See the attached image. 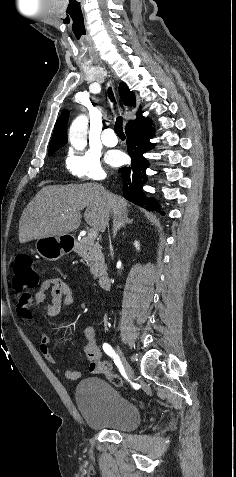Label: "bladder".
Here are the masks:
<instances>
[{
    "mask_svg": "<svg viewBox=\"0 0 236 477\" xmlns=\"http://www.w3.org/2000/svg\"><path fill=\"white\" fill-rule=\"evenodd\" d=\"M75 400L81 416L91 427L131 432L141 424L139 407L102 378L81 380Z\"/></svg>",
    "mask_w": 236,
    "mask_h": 477,
    "instance_id": "bladder-1",
    "label": "bladder"
}]
</instances>
